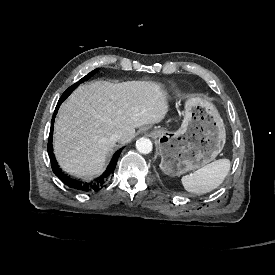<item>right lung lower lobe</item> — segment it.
<instances>
[{
	"instance_id": "obj_1",
	"label": "right lung lower lobe",
	"mask_w": 275,
	"mask_h": 275,
	"mask_svg": "<svg viewBox=\"0 0 275 275\" xmlns=\"http://www.w3.org/2000/svg\"><path fill=\"white\" fill-rule=\"evenodd\" d=\"M65 97H61L60 100L57 103V106L55 108L53 117H52V122H51V129H50V134H49V141L47 145V150L48 154L50 157L51 161V167L54 172V174L68 187L79 190V191H84V192H89V191H97L101 188L104 187L105 183L107 182L109 176L114 172L119 155L122 151V149L118 150L114 155L113 158L107 167V170L98 178H96L94 181L87 183L83 182L74 178H71L67 174H65L58 166L53 150H52V137H53V124H54V119L57 114L58 108L60 107L61 103L65 100Z\"/></svg>"
}]
</instances>
